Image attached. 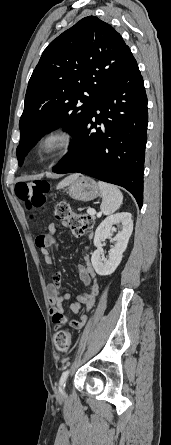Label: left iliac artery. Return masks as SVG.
I'll return each instance as SVG.
<instances>
[{"label": "left iliac artery", "mask_w": 171, "mask_h": 445, "mask_svg": "<svg viewBox=\"0 0 171 445\" xmlns=\"http://www.w3.org/2000/svg\"><path fill=\"white\" fill-rule=\"evenodd\" d=\"M68 374H69V370H66L62 373V376L59 381V389H61L62 386H65V381L68 377Z\"/></svg>", "instance_id": "left-iliac-artery-1"}]
</instances>
